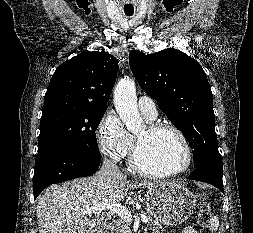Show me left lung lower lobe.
Listing matches in <instances>:
<instances>
[{"mask_svg":"<svg viewBox=\"0 0 253 233\" xmlns=\"http://www.w3.org/2000/svg\"><path fill=\"white\" fill-rule=\"evenodd\" d=\"M223 166L212 163H203L195 168L188 179L210 183L224 192L223 188Z\"/></svg>","mask_w":253,"mask_h":233,"instance_id":"0a47b994","label":"left lung lower lobe"}]
</instances>
